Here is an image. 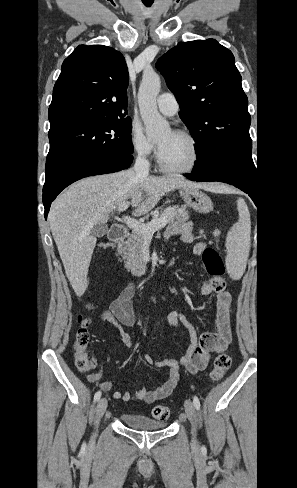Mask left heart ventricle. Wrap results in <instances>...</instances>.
<instances>
[{
  "label": "left heart ventricle",
  "mask_w": 297,
  "mask_h": 488,
  "mask_svg": "<svg viewBox=\"0 0 297 488\" xmlns=\"http://www.w3.org/2000/svg\"><path fill=\"white\" fill-rule=\"evenodd\" d=\"M163 162L172 168H185L193 159L190 142L172 131L163 133L157 140Z\"/></svg>",
  "instance_id": "1"
}]
</instances>
